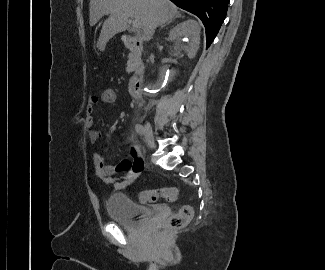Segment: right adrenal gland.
Returning a JSON list of instances; mask_svg holds the SVG:
<instances>
[{
    "mask_svg": "<svg viewBox=\"0 0 325 270\" xmlns=\"http://www.w3.org/2000/svg\"><path fill=\"white\" fill-rule=\"evenodd\" d=\"M178 17H181V15H180V14L177 15L175 18H178ZM173 20H174V19H171V20H169L165 25H162V26H161V29H162L163 27H165L166 25H169Z\"/></svg>",
    "mask_w": 325,
    "mask_h": 270,
    "instance_id": "right-adrenal-gland-1",
    "label": "right adrenal gland"
}]
</instances>
